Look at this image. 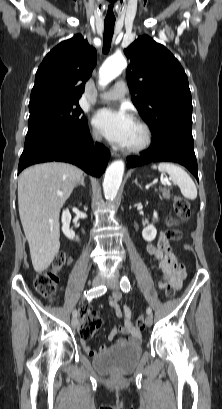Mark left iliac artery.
<instances>
[{
    "instance_id": "44dca946",
    "label": "left iliac artery",
    "mask_w": 222,
    "mask_h": 409,
    "mask_svg": "<svg viewBox=\"0 0 222 409\" xmlns=\"http://www.w3.org/2000/svg\"><path fill=\"white\" fill-rule=\"evenodd\" d=\"M121 290L125 293L129 292L131 289L130 282L126 276H123L120 282ZM146 313L148 315H152V309L150 307L147 308Z\"/></svg>"
}]
</instances>
